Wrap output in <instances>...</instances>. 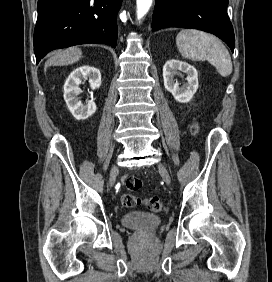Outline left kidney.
I'll return each mask as SVG.
<instances>
[{
	"instance_id": "obj_1",
	"label": "left kidney",
	"mask_w": 272,
	"mask_h": 282,
	"mask_svg": "<svg viewBox=\"0 0 272 282\" xmlns=\"http://www.w3.org/2000/svg\"><path fill=\"white\" fill-rule=\"evenodd\" d=\"M178 71L187 74V82L182 86L174 79ZM163 80L165 89L180 103L189 102L198 89L197 70L192 65L176 59L168 60L163 66Z\"/></svg>"
}]
</instances>
